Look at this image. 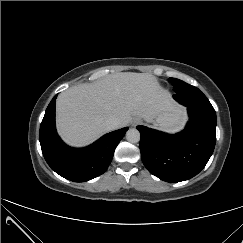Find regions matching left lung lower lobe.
Segmentation results:
<instances>
[{
  "mask_svg": "<svg viewBox=\"0 0 243 243\" xmlns=\"http://www.w3.org/2000/svg\"><path fill=\"white\" fill-rule=\"evenodd\" d=\"M173 95L188 109L186 128L175 135L137 126L141 158L154 176L166 182H180L197 175L207 164L216 142V112L202 107L204 94L188 85Z\"/></svg>",
  "mask_w": 243,
  "mask_h": 243,
  "instance_id": "left-lung-lower-lobe-1",
  "label": "left lung lower lobe"
}]
</instances>
